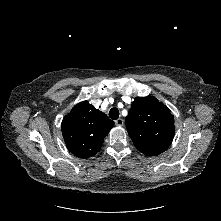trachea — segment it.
I'll return each instance as SVG.
<instances>
[{
  "label": "trachea",
  "mask_w": 221,
  "mask_h": 221,
  "mask_svg": "<svg viewBox=\"0 0 221 221\" xmlns=\"http://www.w3.org/2000/svg\"><path fill=\"white\" fill-rule=\"evenodd\" d=\"M109 117L113 120H116L119 118V110L117 108H111L109 111Z\"/></svg>",
  "instance_id": "obj_1"
}]
</instances>
